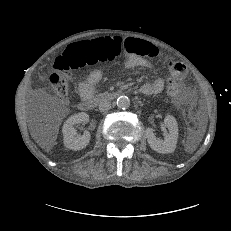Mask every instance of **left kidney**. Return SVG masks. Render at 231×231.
I'll list each match as a JSON object with an SVG mask.
<instances>
[{"mask_svg":"<svg viewBox=\"0 0 231 231\" xmlns=\"http://www.w3.org/2000/svg\"><path fill=\"white\" fill-rule=\"evenodd\" d=\"M164 124L168 128L169 133L165 135L164 140L156 138L152 128L146 129V138L149 146L156 152L166 154L174 152L178 139V124L176 119L167 115Z\"/></svg>","mask_w":231,"mask_h":231,"instance_id":"obj_1","label":"left kidney"}]
</instances>
